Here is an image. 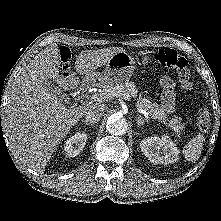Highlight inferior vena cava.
I'll return each mask as SVG.
<instances>
[{
  "label": "inferior vena cava",
  "mask_w": 221,
  "mask_h": 221,
  "mask_svg": "<svg viewBox=\"0 0 221 221\" xmlns=\"http://www.w3.org/2000/svg\"><path fill=\"white\" fill-rule=\"evenodd\" d=\"M104 112L105 106L103 104L91 105L85 113V119L90 123H97L104 115Z\"/></svg>",
  "instance_id": "inferior-vena-cava-1"
}]
</instances>
